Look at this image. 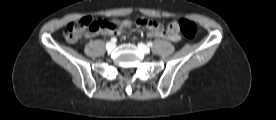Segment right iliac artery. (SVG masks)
Returning <instances> with one entry per match:
<instances>
[{
  "label": "right iliac artery",
  "mask_w": 276,
  "mask_h": 120,
  "mask_svg": "<svg viewBox=\"0 0 276 120\" xmlns=\"http://www.w3.org/2000/svg\"><path fill=\"white\" fill-rule=\"evenodd\" d=\"M117 39L115 37L111 38V42L116 43Z\"/></svg>",
  "instance_id": "right-iliac-artery-1"
}]
</instances>
